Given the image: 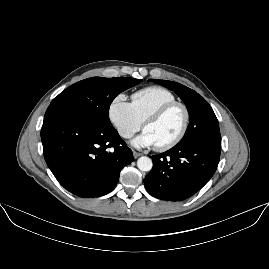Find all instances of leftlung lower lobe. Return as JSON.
I'll return each mask as SVG.
<instances>
[{"label":"left lung lower lobe","instance_id":"1","mask_svg":"<svg viewBox=\"0 0 269 269\" xmlns=\"http://www.w3.org/2000/svg\"><path fill=\"white\" fill-rule=\"evenodd\" d=\"M221 143L199 141L190 145L177 144L172 149L152 156L153 168L144 179L152 196L181 201L201 189L215 173Z\"/></svg>","mask_w":269,"mask_h":269}]
</instances>
